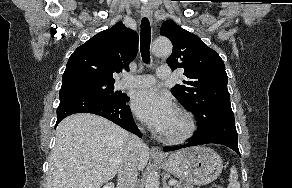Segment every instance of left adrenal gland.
<instances>
[{
    "label": "left adrenal gland",
    "instance_id": "a2214340",
    "mask_svg": "<svg viewBox=\"0 0 292 188\" xmlns=\"http://www.w3.org/2000/svg\"><path fill=\"white\" fill-rule=\"evenodd\" d=\"M163 188H170V186L167 184L166 180L163 181Z\"/></svg>",
    "mask_w": 292,
    "mask_h": 188
}]
</instances>
